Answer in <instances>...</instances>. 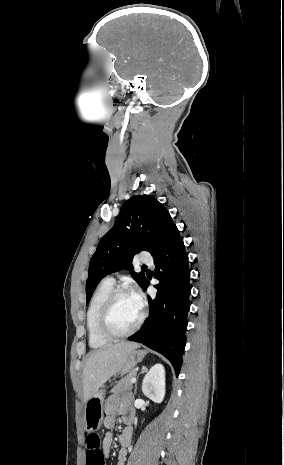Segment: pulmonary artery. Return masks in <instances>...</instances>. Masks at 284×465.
I'll return each mask as SVG.
<instances>
[{"label":"pulmonary artery","mask_w":284,"mask_h":465,"mask_svg":"<svg viewBox=\"0 0 284 465\" xmlns=\"http://www.w3.org/2000/svg\"><path fill=\"white\" fill-rule=\"evenodd\" d=\"M139 263H151L152 262V255L148 254L146 250H141L137 257ZM102 281L110 284L115 283V279L112 276L105 277Z\"/></svg>","instance_id":"1"}]
</instances>
